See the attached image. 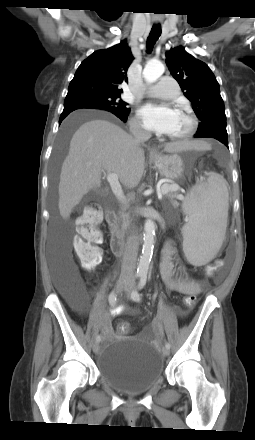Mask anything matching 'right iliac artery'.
Returning a JSON list of instances; mask_svg holds the SVG:
<instances>
[{
  "instance_id": "82829eb1",
  "label": "right iliac artery",
  "mask_w": 255,
  "mask_h": 440,
  "mask_svg": "<svg viewBox=\"0 0 255 440\" xmlns=\"http://www.w3.org/2000/svg\"><path fill=\"white\" fill-rule=\"evenodd\" d=\"M139 276L140 275H138V274L136 275V277H139ZM108 300H109V303L111 306L114 307L116 305L117 297H116V293L114 291L110 293ZM100 341H101V336L98 335L96 337V342L99 343Z\"/></svg>"
}]
</instances>
